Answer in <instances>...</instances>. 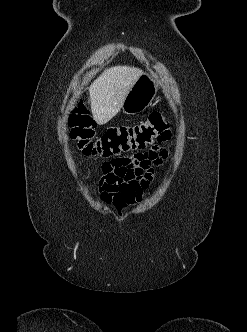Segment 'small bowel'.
Segmentation results:
<instances>
[{"mask_svg":"<svg viewBox=\"0 0 247 332\" xmlns=\"http://www.w3.org/2000/svg\"><path fill=\"white\" fill-rule=\"evenodd\" d=\"M166 157L167 151L156 145L148 152L103 163L99 181L101 200L119 210L140 201L153 181L155 168Z\"/></svg>","mask_w":247,"mask_h":332,"instance_id":"c3829d8e","label":"small bowel"}]
</instances>
